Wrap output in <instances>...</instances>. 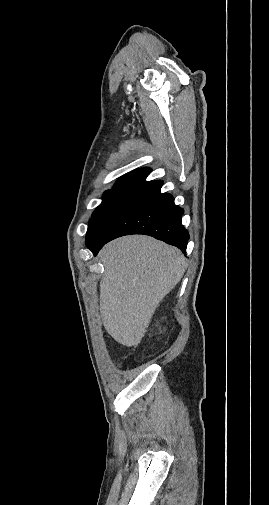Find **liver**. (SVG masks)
<instances>
[{
    "label": "liver",
    "instance_id": "1",
    "mask_svg": "<svg viewBox=\"0 0 269 505\" xmlns=\"http://www.w3.org/2000/svg\"><path fill=\"white\" fill-rule=\"evenodd\" d=\"M100 313L105 330L118 343H140L159 302L181 280V251L149 236L130 235L105 245L99 254Z\"/></svg>",
    "mask_w": 269,
    "mask_h": 505
}]
</instances>
